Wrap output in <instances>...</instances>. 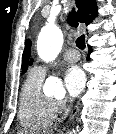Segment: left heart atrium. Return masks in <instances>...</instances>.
<instances>
[{"label": "left heart atrium", "instance_id": "obj_1", "mask_svg": "<svg viewBox=\"0 0 116 134\" xmlns=\"http://www.w3.org/2000/svg\"><path fill=\"white\" fill-rule=\"evenodd\" d=\"M86 76L78 66L68 68L64 74V86L70 97L78 96L84 89Z\"/></svg>", "mask_w": 116, "mask_h": 134}]
</instances>
